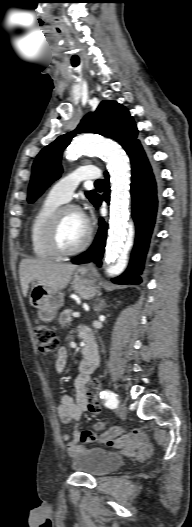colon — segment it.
Instances as JSON below:
<instances>
[{
  "label": "colon",
  "instance_id": "colon-1",
  "mask_svg": "<svg viewBox=\"0 0 192 527\" xmlns=\"http://www.w3.org/2000/svg\"><path fill=\"white\" fill-rule=\"evenodd\" d=\"M33 332L41 352L50 354L57 350L59 341L53 329L41 322H36L33 327ZM99 386V382L95 381L87 392L90 410L94 413L100 410L98 397ZM131 433L134 434L133 432Z\"/></svg>",
  "mask_w": 192,
  "mask_h": 527
}]
</instances>
